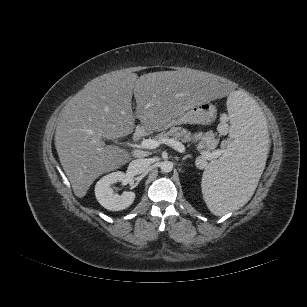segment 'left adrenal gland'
Masks as SVG:
<instances>
[{"label":"left adrenal gland","mask_w":307,"mask_h":307,"mask_svg":"<svg viewBox=\"0 0 307 307\" xmlns=\"http://www.w3.org/2000/svg\"><path fill=\"white\" fill-rule=\"evenodd\" d=\"M191 157H192L191 155H186L183 157L182 161H185L186 159L191 158Z\"/></svg>","instance_id":"obj_1"}]
</instances>
